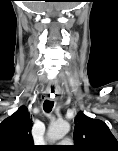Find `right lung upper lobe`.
Instances as JSON below:
<instances>
[{"mask_svg":"<svg viewBox=\"0 0 118 151\" xmlns=\"http://www.w3.org/2000/svg\"><path fill=\"white\" fill-rule=\"evenodd\" d=\"M31 128L28 109L21 106L0 124V151L34 150Z\"/></svg>","mask_w":118,"mask_h":151,"instance_id":"right-lung-upper-lobe-1","label":"right lung upper lobe"}]
</instances>
